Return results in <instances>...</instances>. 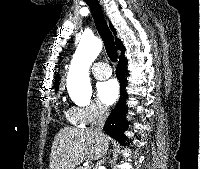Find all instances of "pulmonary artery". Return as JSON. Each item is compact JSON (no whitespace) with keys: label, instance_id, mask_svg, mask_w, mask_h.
<instances>
[{"label":"pulmonary artery","instance_id":"pulmonary-artery-1","mask_svg":"<svg viewBox=\"0 0 200 169\" xmlns=\"http://www.w3.org/2000/svg\"><path fill=\"white\" fill-rule=\"evenodd\" d=\"M92 73L95 78L102 80L110 77L112 71L107 63L97 62L92 67Z\"/></svg>","mask_w":200,"mask_h":169}]
</instances>
